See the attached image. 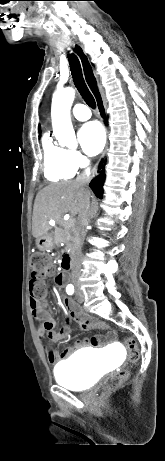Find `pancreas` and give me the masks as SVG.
Returning <instances> with one entry per match:
<instances>
[{
  "instance_id": "1",
  "label": "pancreas",
  "mask_w": 165,
  "mask_h": 461,
  "mask_svg": "<svg viewBox=\"0 0 165 461\" xmlns=\"http://www.w3.org/2000/svg\"><path fill=\"white\" fill-rule=\"evenodd\" d=\"M61 227H56L54 231V239L56 242H64L68 249H73V230L72 225L65 224L63 221H59Z\"/></svg>"
}]
</instances>
